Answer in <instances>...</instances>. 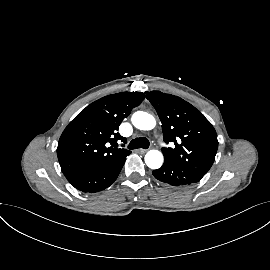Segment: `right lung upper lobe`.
<instances>
[{"instance_id":"cb5924a9","label":"right lung upper lobe","mask_w":270,"mask_h":270,"mask_svg":"<svg viewBox=\"0 0 270 270\" xmlns=\"http://www.w3.org/2000/svg\"><path fill=\"white\" fill-rule=\"evenodd\" d=\"M141 92H121L105 96L82 110L65 128L57 156L65 177L109 163L131 153L114 146L126 142L117 131L124 118L144 100Z\"/></svg>"}]
</instances>
